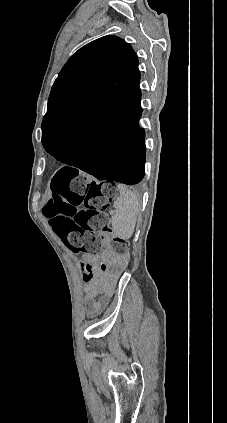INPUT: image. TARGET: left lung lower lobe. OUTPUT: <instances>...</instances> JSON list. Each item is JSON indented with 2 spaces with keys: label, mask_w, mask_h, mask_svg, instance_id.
<instances>
[{
  "label": "left lung lower lobe",
  "mask_w": 227,
  "mask_h": 423,
  "mask_svg": "<svg viewBox=\"0 0 227 423\" xmlns=\"http://www.w3.org/2000/svg\"><path fill=\"white\" fill-rule=\"evenodd\" d=\"M141 112L108 113L82 134L54 140L45 149L57 160L99 180L137 184L144 177L146 155L145 133L138 125ZM61 171L78 175V170L70 167Z\"/></svg>",
  "instance_id": "1"
}]
</instances>
